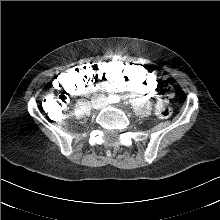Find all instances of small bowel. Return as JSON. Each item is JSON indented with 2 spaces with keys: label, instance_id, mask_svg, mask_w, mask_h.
<instances>
[{
  "label": "small bowel",
  "instance_id": "1",
  "mask_svg": "<svg viewBox=\"0 0 220 220\" xmlns=\"http://www.w3.org/2000/svg\"><path fill=\"white\" fill-rule=\"evenodd\" d=\"M102 86L108 90V91H121V90H126L128 91L129 93L131 94H145L147 95L148 93L149 94H153L155 93L158 88L156 90H153V91H148V90H145V89H140V88H137L136 86L134 85H131V84H128V83H125L124 81L123 82H120V83H114V82H111L110 80L108 81H105ZM159 99V98H157Z\"/></svg>",
  "mask_w": 220,
  "mask_h": 220
}]
</instances>
